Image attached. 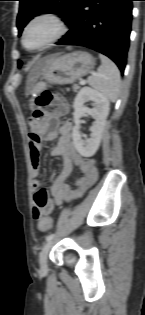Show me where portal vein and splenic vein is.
<instances>
[{
	"mask_svg": "<svg viewBox=\"0 0 145 315\" xmlns=\"http://www.w3.org/2000/svg\"><path fill=\"white\" fill-rule=\"evenodd\" d=\"M86 81L85 80H81L80 81V85H85Z\"/></svg>",
	"mask_w": 145,
	"mask_h": 315,
	"instance_id": "portal-vein-and-splenic-vein-1",
	"label": "portal vein and splenic vein"
}]
</instances>
